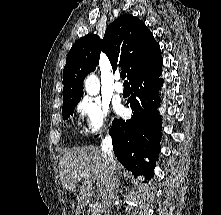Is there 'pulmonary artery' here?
Returning a JSON list of instances; mask_svg holds the SVG:
<instances>
[{
    "label": "pulmonary artery",
    "instance_id": "e3ab8cb5",
    "mask_svg": "<svg viewBox=\"0 0 221 215\" xmlns=\"http://www.w3.org/2000/svg\"><path fill=\"white\" fill-rule=\"evenodd\" d=\"M115 84H114V89L117 93H122L124 91V86L120 82V76L117 74L115 77Z\"/></svg>",
    "mask_w": 221,
    "mask_h": 215
}]
</instances>
